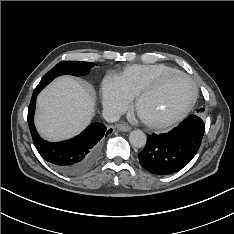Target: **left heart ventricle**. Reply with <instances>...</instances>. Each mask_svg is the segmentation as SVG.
<instances>
[{
	"label": "left heart ventricle",
	"instance_id": "1",
	"mask_svg": "<svg viewBox=\"0 0 234 234\" xmlns=\"http://www.w3.org/2000/svg\"><path fill=\"white\" fill-rule=\"evenodd\" d=\"M192 94L193 88L187 79L172 77L143 100L141 114L152 119L174 115L189 103Z\"/></svg>",
	"mask_w": 234,
	"mask_h": 234
}]
</instances>
